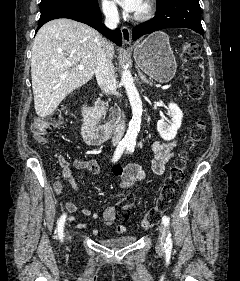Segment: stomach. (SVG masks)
I'll list each match as a JSON object with an SVG mask.
<instances>
[{
	"instance_id": "obj_1",
	"label": "stomach",
	"mask_w": 240,
	"mask_h": 281,
	"mask_svg": "<svg viewBox=\"0 0 240 281\" xmlns=\"http://www.w3.org/2000/svg\"><path fill=\"white\" fill-rule=\"evenodd\" d=\"M134 59L138 67L158 82L170 81L177 68L169 37L163 32L149 35L134 47Z\"/></svg>"
}]
</instances>
